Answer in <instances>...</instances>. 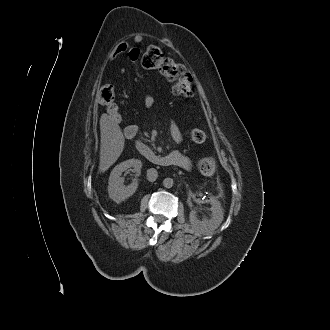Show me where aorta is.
I'll list each match as a JSON object with an SVG mask.
<instances>
[{
  "instance_id": "1",
  "label": "aorta",
  "mask_w": 330,
  "mask_h": 330,
  "mask_svg": "<svg viewBox=\"0 0 330 330\" xmlns=\"http://www.w3.org/2000/svg\"><path fill=\"white\" fill-rule=\"evenodd\" d=\"M173 184H174V181H173L172 178H165V179L163 180V186H164L165 188H171V187L173 186Z\"/></svg>"
}]
</instances>
